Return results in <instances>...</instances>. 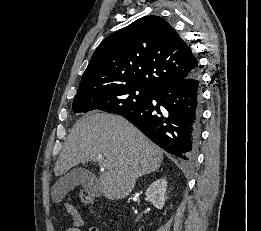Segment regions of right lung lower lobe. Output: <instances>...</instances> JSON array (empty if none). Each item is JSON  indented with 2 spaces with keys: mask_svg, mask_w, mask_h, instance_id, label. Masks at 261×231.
Instances as JSON below:
<instances>
[{
  "mask_svg": "<svg viewBox=\"0 0 261 231\" xmlns=\"http://www.w3.org/2000/svg\"><path fill=\"white\" fill-rule=\"evenodd\" d=\"M121 116L168 153L192 161L197 151L201 119L198 71L159 86L147 104Z\"/></svg>",
  "mask_w": 261,
  "mask_h": 231,
  "instance_id": "obj_1",
  "label": "right lung lower lobe"
}]
</instances>
